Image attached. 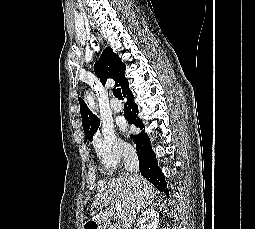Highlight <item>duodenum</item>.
I'll use <instances>...</instances> for the list:
<instances>
[{"label":"duodenum","instance_id":"obj_1","mask_svg":"<svg viewBox=\"0 0 255 229\" xmlns=\"http://www.w3.org/2000/svg\"><path fill=\"white\" fill-rule=\"evenodd\" d=\"M97 229H117V228L113 224H103V225H100V228H97Z\"/></svg>","mask_w":255,"mask_h":229}]
</instances>
